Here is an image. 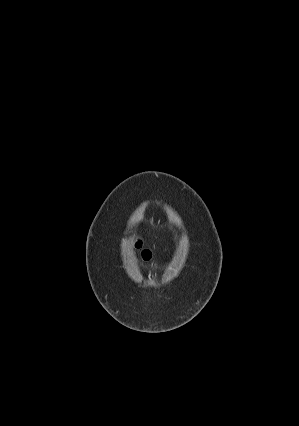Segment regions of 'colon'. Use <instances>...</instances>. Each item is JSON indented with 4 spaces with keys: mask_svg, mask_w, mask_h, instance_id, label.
I'll use <instances>...</instances> for the list:
<instances>
[{
    "mask_svg": "<svg viewBox=\"0 0 299 426\" xmlns=\"http://www.w3.org/2000/svg\"><path fill=\"white\" fill-rule=\"evenodd\" d=\"M135 249L138 250L141 254V257L144 261H149L151 259L152 253L148 249H144L140 241L135 243Z\"/></svg>",
    "mask_w": 299,
    "mask_h": 426,
    "instance_id": "colon-1",
    "label": "colon"
}]
</instances>
